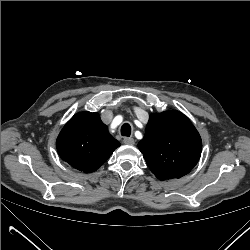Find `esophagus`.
I'll list each match as a JSON object with an SVG mask.
<instances>
[{
	"instance_id": "1",
	"label": "esophagus",
	"mask_w": 250,
	"mask_h": 250,
	"mask_svg": "<svg viewBox=\"0 0 250 250\" xmlns=\"http://www.w3.org/2000/svg\"><path fill=\"white\" fill-rule=\"evenodd\" d=\"M123 142L124 144L126 145H133L135 143L134 139L133 138H130V137H126L123 139Z\"/></svg>"
}]
</instances>
